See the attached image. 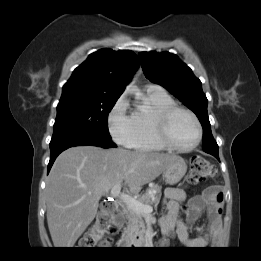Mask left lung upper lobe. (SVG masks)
Segmentation results:
<instances>
[{"label": "left lung upper lobe", "mask_w": 261, "mask_h": 261, "mask_svg": "<svg viewBox=\"0 0 261 261\" xmlns=\"http://www.w3.org/2000/svg\"><path fill=\"white\" fill-rule=\"evenodd\" d=\"M138 57L146 78L166 88L196 114L203 127L202 148L218 150L208 118V100L192 70L169 52H141Z\"/></svg>", "instance_id": "left-lung-upper-lobe-1"}]
</instances>
